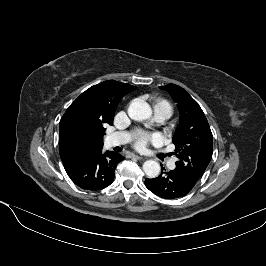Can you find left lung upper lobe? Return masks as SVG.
<instances>
[{"instance_id": "left-lung-upper-lobe-1", "label": "left lung upper lobe", "mask_w": 266, "mask_h": 266, "mask_svg": "<svg viewBox=\"0 0 266 266\" xmlns=\"http://www.w3.org/2000/svg\"><path fill=\"white\" fill-rule=\"evenodd\" d=\"M160 88L171 94L180 111V124L173 137L179 158L174 170L195 185L212 158L210 126L199 104L183 88L175 84Z\"/></svg>"}]
</instances>
